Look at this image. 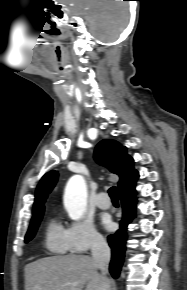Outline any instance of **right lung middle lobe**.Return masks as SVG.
I'll return each instance as SVG.
<instances>
[{
    "mask_svg": "<svg viewBox=\"0 0 187 290\" xmlns=\"http://www.w3.org/2000/svg\"><path fill=\"white\" fill-rule=\"evenodd\" d=\"M43 214H40L37 218L31 221L30 227L28 229V232L25 236V242H29L35 235L37 228L40 224V221L42 219Z\"/></svg>",
    "mask_w": 187,
    "mask_h": 290,
    "instance_id": "dd1d6c3e",
    "label": "right lung middle lobe"
}]
</instances>
